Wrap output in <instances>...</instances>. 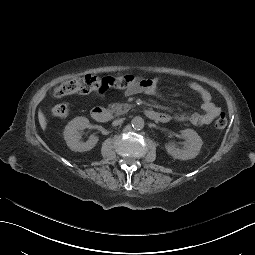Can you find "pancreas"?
I'll return each instance as SVG.
<instances>
[{
    "label": "pancreas",
    "instance_id": "obj_1",
    "mask_svg": "<svg viewBox=\"0 0 255 255\" xmlns=\"http://www.w3.org/2000/svg\"><path fill=\"white\" fill-rule=\"evenodd\" d=\"M129 109H131V105L130 104H120V103H111L108 104V108L107 110L110 113H114L115 115H121L124 112H127Z\"/></svg>",
    "mask_w": 255,
    "mask_h": 255
}]
</instances>
